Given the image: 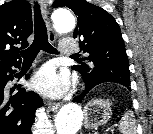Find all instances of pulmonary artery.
Here are the masks:
<instances>
[{
  "instance_id": "obj_1",
  "label": "pulmonary artery",
  "mask_w": 153,
  "mask_h": 134,
  "mask_svg": "<svg viewBox=\"0 0 153 134\" xmlns=\"http://www.w3.org/2000/svg\"><path fill=\"white\" fill-rule=\"evenodd\" d=\"M79 50L78 44L72 38H66L61 42L60 52L63 55L74 54Z\"/></svg>"
}]
</instances>
